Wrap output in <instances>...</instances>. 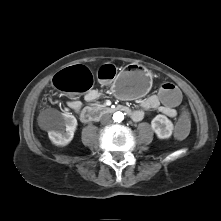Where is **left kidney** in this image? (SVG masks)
<instances>
[{
  "instance_id": "left-kidney-1",
  "label": "left kidney",
  "mask_w": 221,
  "mask_h": 221,
  "mask_svg": "<svg viewBox=\"0 0 221 221\" xmlns=\"http://www.w3.org/2000/svg\"><path fill=\"white\" fill-rule=\"evenodd\" d=\"M152 130L160 139H168L172 135L173 124L165 115H157L151 121Z\"/></svg>"
}]
</instances>
